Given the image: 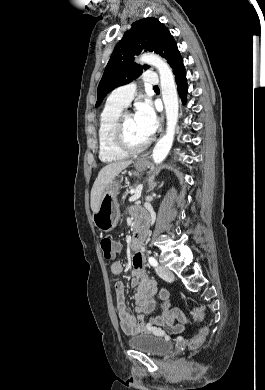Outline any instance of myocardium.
<instances>
[{"label": "myocardium", "mask_w": 265, "mask_h": 390, "mask_svg": "<svg viewBox=\"0 0 265 390\" xmlns=\"http://www.w3.org/2000/svg\"><path fill=\"white\" fill-rule=\"evenodd\" d=\"M131 115L132 114L128 111L122 112L116 121L113 131V139L116 147L126 155L139 154L143 152L149 146L150 143V141L147 140L140 146L136 147L129 144L125 136L124 123L125 119Z\"/></svg>", "instance_id": "obj_1"}]
</instances>
